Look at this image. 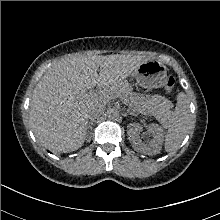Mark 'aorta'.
<instances>
[{
	"instance_id": "obj_1",
	"label": "aorta",
	"mask_w": 220,
	"mask_h": 220,
	"mask_svg": "<svg viewBox=\"0 0 220 220\" xmlns=\"http://www.w3.org/2000/svg\"><path fill=\"white\" fill-rule=\"evenodd\" d=\"M108 117L110 118V119H116V118H118L119 117V111L117 110V109H110L109 111H108Z\"/></svg>"
}]
</instances>
